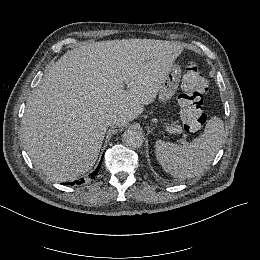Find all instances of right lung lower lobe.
I'll return each instance as SVG.
<instances>
[{"label": "right lung lower lobe", "instance_id": "1", "mask_svg": "<svg viewBox=\"0 0 260 260\" xmlns=\"http://www.w3.org/2000/svg\"><path fill=\"white\" fill-rule=\"evenodd\" d=\"M102 161V160H101ZM100 165H101V162L99 163V165H98V167L96 168V170L93 172V173H91L90 174V177L93 179L96 175H97V173H98V171H99V169H100ZM84 182V179H81L80 181L79 180H77V181H75V182H71V183H64L65 185L66 184H68V185H71V186H73V185H80V184H82Z\"/></svg>", "mask_w": 260, "mask_h": 260}]
</instances>
